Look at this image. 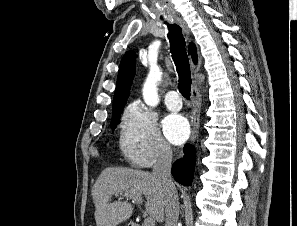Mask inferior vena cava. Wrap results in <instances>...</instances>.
I'll return each instance as SVG.
<instances>
[{
  "mask_svg": "<svg viewBox=\"0 0 297 226\" xmlns=\"http://www.w3.org/2000/svg\"><path fill=\"white\" fill-rule=\"evenodd\" d=\"M172 150L163 144L153 165L152 175L159 180L165 190V226H177L179 218V199L171 178Z\"/></svg>",
  "mask_w": 297,
  "mask_h": 226,
  "instance_id": "inferior-vena-cava-1",
  "label": "inferior vena cava"
}]
</instances>
